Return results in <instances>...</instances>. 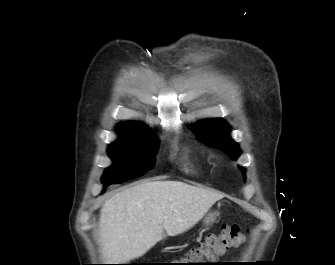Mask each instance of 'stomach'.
Wrapping results in <instances>:
<instances>
[{
	"label": "stomach",
	"mask_w": 335,
	"mask_h": 265,
	"mask_svg": "<svg viewBox=\"0 0 335 265\" xmlns=\"http://www.w3.org/2000/svg\"><path fill=\"white\" fill-rule=\"evenodd\" d=\"M217 216H218L217 212L209 213L204 219V224L206 225L212 224L213 222H215Z\"/></svg>",
	"instance_id": "obj_1"
}]
</instances>
